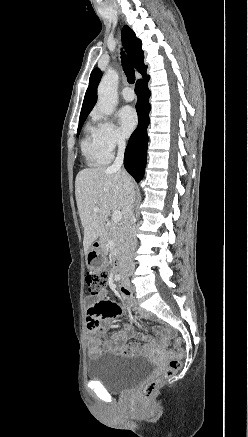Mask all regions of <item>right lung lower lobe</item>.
<instances>
[{
	"label": "right lung lower lobe",
	"mask_w": 248,
	"mask_h": 437,
	"mask_svg": "<svg viewBox=\"0 0 248 437\" xmlns=\"http://www.w3.org/2000/svg\"><path fill=\"white\" fill-rule=\"evenodd\" d=\"M143 75L144 79L138 80L135 86V92L138 96L136 110L139 124L128 141L124 155V166L136 182L143 178L145 171L148 144L147 127L151 108L149 104L150 91L147 83L149 76L146 73Z\"/></svg>",
	"instance_id": "1"
}]
</instances>
